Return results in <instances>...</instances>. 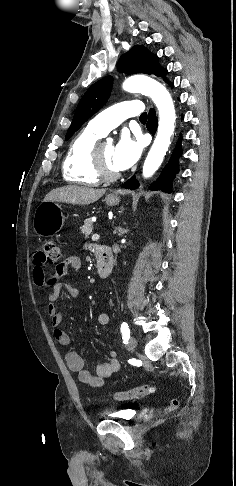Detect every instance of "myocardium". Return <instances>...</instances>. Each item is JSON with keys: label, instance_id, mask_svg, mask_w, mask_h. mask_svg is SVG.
<instances>
[{"label": "myocardium", "instance_id": "myocardium-1", "mask_svg": "<svg viewBox=\"0 0 236 486\" xmlns=\"http://www.w3.org/2000/svg\"><path fill=\"white\" fill-rule=\"evenodd\" d=\"M101 146L102 144L96 143L92 149L91 163H92L93 172L100 181H104V182L115 181L120 177L121 174L120 172H110L106 168L100 152Z\"/></svg>", "mask_w": 236, "mask_h": 486}]
</instances>
